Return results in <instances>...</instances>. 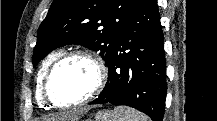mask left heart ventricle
<instances>
[{"instance_id": "b2bd125f", "label": "left heart ventricle", "mask_w": 217, "mask_h": 121, "mask_svg": "<svg viewBox=\"0 0 217 121\" xmlns=\"http://www.w3.org/2000/svg\"><path fill=\"white\" fill-rule=\"evenodd\" d=\"M96 79L97 72L92 62L85 58H73L56 70L50 93L60 104H72L92 91Z\"/></svg>"}]
</instances>
